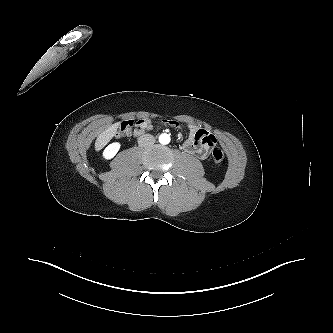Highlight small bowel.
Instances as JSON below:
<instances>
[{
  "instance_id": "obj_1",
  "label": "small bowel",
  "mask_w": 333,
  "mask_h": 333,
  "mask_svg": "<svg viewBox=\"0 0 333 333\" xmlns=\"http://www.w3.org/2000/svg\"><path fill=\"white\" fill-rule=\"evenodd\" d=\"M167 124L173 127H180L176 121H167ZM190 136L183 143L185 151L196 155L204 160L209 156L210 149L217 144L216 137L206 130L199 129L196 126L190 125ZM151 128V122L148 119H141L136 123V134L142 135Z\"/></svg>"
}]
</instances>
